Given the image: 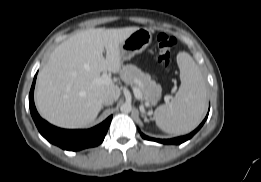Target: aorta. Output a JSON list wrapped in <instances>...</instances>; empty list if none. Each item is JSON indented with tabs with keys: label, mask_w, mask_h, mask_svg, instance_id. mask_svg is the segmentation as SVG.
<instances>
[{
	"label": "aorta",
	"mask_w": 261,
	"mask_h": 182,
	"mask_svg": "<svg viewBox=\"0 0 261 182\" xmlns=\"http://www.w3.org/2000/svg\"><path fill=\"white\" fill-rule=\"evenodd\" d=\"M131 110H132V106H131L130 103H124V104H122L121 107H120V111H121L122 113H130Z\"/></svg>",
	"instance_id": "1"
}]
</instances>
